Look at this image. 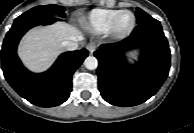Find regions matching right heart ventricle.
<instances>
[{"mask_svg":"<svg viewBox=\"0 0 194 133\" xmlns=\"http://www.w3.org/2000/svg\"><path fill=\"white\" fill-rule=\"evenodd\" d=\"M119 9L96 8L91 10L82 20L84 26L97 34L107 33L112 17Z\"/></svg>","mask_w":194,"mask_h":133,"instance_id":"right-heart-ventricle-1","label":"right heart ventricle"}]
</instances>
